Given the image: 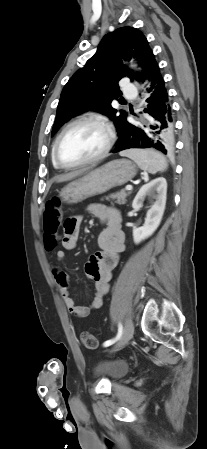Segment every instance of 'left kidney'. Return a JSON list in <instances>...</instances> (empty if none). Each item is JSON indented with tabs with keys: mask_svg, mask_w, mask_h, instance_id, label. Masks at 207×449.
I'll return each mask as SVG.
<instances>
[{
	"mask_svg": "<svg viewBox=\"0 0 207 449\" xmlns=\"http://www.w3.org/2000/svg\"><path fill=\"white\" fill-rule=\"evenodd\" d=\"M167 194V182L163 177H158L149 183L143 185L133 200L132 207L139 210L146 196L152 197L155 202L147 211L145 223L142 227L133 229V240L135 244L150 237L160 225L162 220Z\"/></svg>",
	"mask_w": 207,
	"mask_h": 449,
	"instance_id": "1",
	"label": "left kidney"
}]
</instances>
